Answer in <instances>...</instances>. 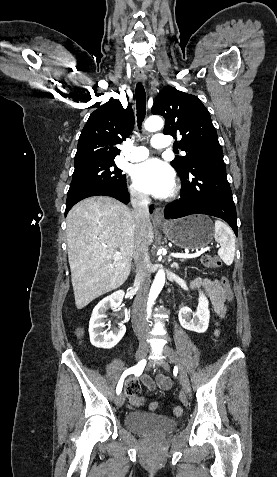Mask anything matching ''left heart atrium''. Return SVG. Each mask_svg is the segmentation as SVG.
<instances>
[{"instance_id":"39dd6f15","label":"left heart atrium","mask_w":277,"mask_h":477,"mask_svg":"<svg viewBox=\"0 0 277 477\" xmlns=\"http://www.w3.org/2000/svg\"><path fill=\"white\" fill-rule=\"evenodd\" d=\"M132 176L139 189L157 197L167 196L175 184L173 170L159 159L136 165Z\"/></svg>"}]
</instances>
